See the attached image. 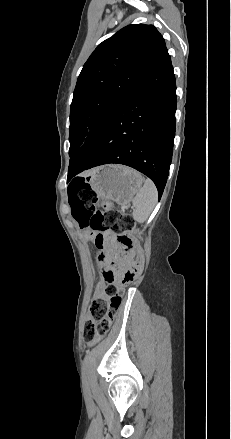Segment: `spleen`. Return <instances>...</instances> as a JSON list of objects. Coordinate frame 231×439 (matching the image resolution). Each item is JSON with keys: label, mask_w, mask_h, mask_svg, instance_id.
<instances>
[{"label": "spleen", "mask_w": 231, "mask_h": 439, "mask_svg": "<svg viewBox=\"0 0 231 439\" xmlns=\"http://www.w3.org/2000/svg\"><path fill=\"white\" fill-rule=\"evenodd\" d=\"M158 199V192L155 184L146 179L140 192L133 199V218L139 223L145 222L150 216Z\"/></svg>", "instance_id": "spleen-1"}]
</instances>
